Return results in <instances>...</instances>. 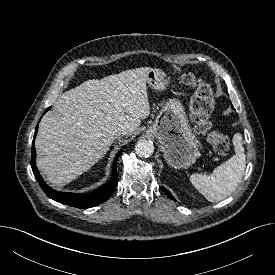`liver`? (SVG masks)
<instances>
[{
	"label": "liver",
	"mask_w": 275,
	"mask_h": 275,
	"mask_svg": "<svg viewBox=\"0 0 275 275\" xmlns=\"http://www.w3.org/2000/svg\"><path fill=\"white\" fill-rule=\"evenodd\" d=\"M141 67L93 79L61 94L41 119L35 141L37 167L52 185L63 186L90 169L109 150L116 132L131 135L150 114Z\"/></svg>",
	"instance_id": "1"
}]
</instances>
